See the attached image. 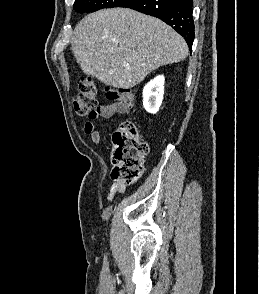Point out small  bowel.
<instances>
[{"instance_id":"small-bowel-1","label":"small bowel","mask_w":259,"mask_h":294,"mask_svg":"<svg viewBox=\"0 0 259 294\" xmlns=\"http://www.w3.org/2000/svg\"><path fill=\"white\" fill-rule=\"evenodd\" d=\"M126 111V106L120 102H112L105 105H100L96 109L94 117H89V120L84 124V133L90 136L93 143L100 145L102 142V134L99 130L95 129L94 121L99 118H110L116 114H122ZM125 192V184L115 181L109 190L107 200L111 202L116 194Z\"/></svg>"}]
</instances>
